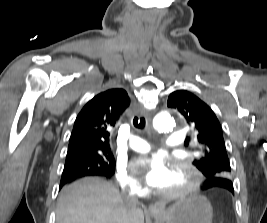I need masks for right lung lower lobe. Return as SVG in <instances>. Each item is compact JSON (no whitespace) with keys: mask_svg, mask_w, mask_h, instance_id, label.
<instances>
[{"mask_svg":"<svg viewBox=\"0 0 267 223\" xmlns=\"http://www.w3.org/2000/svg\"><path fill=\"white\" fill-rule=\"evenodd\" d=\"M84 176H104V175H100V174H87V173H82L80 171H72V172H64L63 171V174H62V177H61V182H60V188L68 183V182H71L77 178H80V177H84ZM106 177V176H104Z\"/></svg>","mask_w":267,"mask_h":223,"instance_id":"obj_1","label":"right lung lower lobe"}]
</instances>
